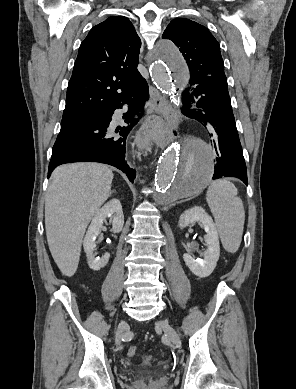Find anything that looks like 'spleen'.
I'll use <instances>...</instances> for the list:
<instances>
[{
    "label": "spleen",
    "mask_w": 296,
    "mask_h": 389,
    "mask_svg": "<svg viewBox=\"0 0 296 389\" xmlns=\"http://www.w3.org/2000/svg\"><path fill=\"white\" fill-rule=\"evenodd\" d=\"M237 193L235 185L226 179L213 181L206 193L222 245L230 253L241 244L245 221L243 202Z\"/></svg>",
    "instance_id": "spleen-1"
}]
</instances>
